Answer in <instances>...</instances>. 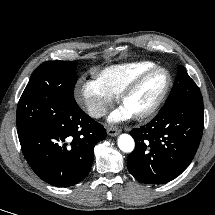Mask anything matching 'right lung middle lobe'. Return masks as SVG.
I'll return each mask as SVG.
<instances>
[{
  "mask_svg": "<svg viewBox=\"0 0 215 215\" xmlns=\"http://www.w3.org/2000/svg\"><path fill=\"white\" fill-rule=\"evenodd\" d=\"M75 67V61L44 62L33 72L17 106L19 140L57 113L77 105L73 95Z\"/></svg>",
  "mask_w": 215,
  "mask_h": 215,
  "instance_id": "1",
  "label": "right lung middle lobe"
}]
</instances>
